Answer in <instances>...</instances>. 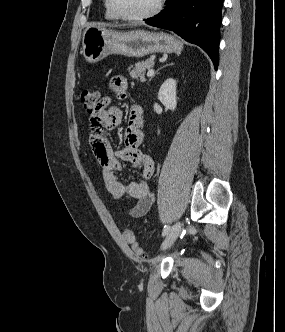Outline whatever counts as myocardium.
<instances>
[{
  "label": "myocardium",
  "mask_w": 285,
  "mask_h": 332,
  "mask_svg": "<svg viewBox=\"0 0 285 332\" xmlns=\"http://www.w3.org/2000/svg\"><path fill=\"white\" fill-rule=\"evenodd\" d=\"M164 1L165 0H157L155 7L150 12L142 14V15H138V16H127V15L121 14L115 8V6L113 4V0H107V5H108V8L110 9V11L112 12V14L117 19H120L123 21H129V22H139V21H145V20L151 19V18L155 17L156 15H158L160 13V11L162 10Z\"/></svg>",
  "instance_id": "f54148a6"
}]
</instances>
